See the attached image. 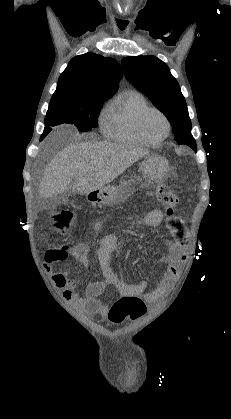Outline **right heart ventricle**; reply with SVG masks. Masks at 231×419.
<instances>
[{"instance_id":"right-heart-ventricle-1","label":"right heart ventricle","mask_w":231,"mask_h":419,"mask_svg":"<svg viewBox=\"0 0 231 419\" xmlns=\"http://www.w3.org/2000/svg\"><path fill=\"white\" fill-rule=\"evenodd\" d=\"M147 107L148 102L139 92L124 93L108 109V119L103 130L105 136L123 144H147L140 138L135 126L137 116Z\"/></svg>"}]
</instances>
